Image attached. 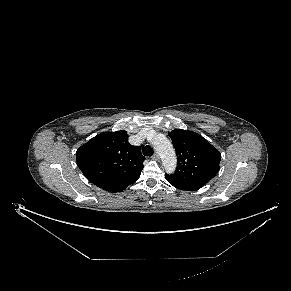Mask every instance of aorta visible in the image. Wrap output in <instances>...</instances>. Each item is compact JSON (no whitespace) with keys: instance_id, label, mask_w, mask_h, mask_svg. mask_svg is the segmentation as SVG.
<instances>
[{"instance_id":"762f6f07","label":"aorta","mask_w":291,"mask_h":291,"mask_svg":"<svg viewBox=\"0 0 291 291\" xmlns=\"http://www.w3.org/2000/svg\"><path fill=\"white\" fill-rule=\"evenodd\" d=\"M151 143L159 154L165 171L169 174L173 173L176 168L177 158L172 143L161 133H154Z\"/></svg>"}]
</instances>
